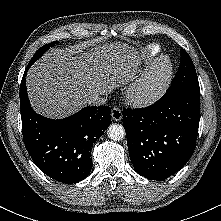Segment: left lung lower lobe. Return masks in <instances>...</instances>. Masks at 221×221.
<instances>
[{"label": "left lung lower lobe", "instance_id": "obj_1", "mask_svg": "<svg viewBox=\"0 0 221 221\" xmlns=\"http://www.w3.org/2000/svg\"><path fill=\"white\" fill-rule=\"evenodd\" d=\"M199 100V89L167 90L149 107L122 112L130 159L141 176L164 180L188 162L197 139Z\"/></svg>", "mask_w": 221, "mask_h": 221}]
</instances>
